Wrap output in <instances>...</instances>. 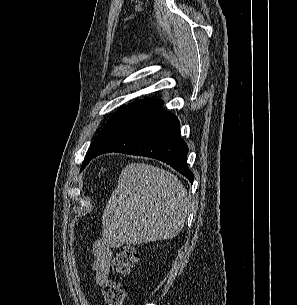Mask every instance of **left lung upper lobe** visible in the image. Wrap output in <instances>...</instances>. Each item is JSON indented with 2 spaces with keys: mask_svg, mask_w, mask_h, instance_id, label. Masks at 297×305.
I'll return each instance as SVG.
<instances>
[{
  "mask_svg": "<svg viewBox=\"0 0 297 305\" xmlns=\"http://www.w3.org/2000/svg\"><path fill=\"white\" fill-rule=\"evenodd\" d=\"M124 108H119L118 111L116 113H114L111 118L109 119V121L106 123V125L103 127L101 133L96 137V139L94 140V142L92 143L91 147L89 148L86 156H85V160L82 164L81 170H83L85 168V166L89 163V157L91 154H93L101 145L106 133L108 132L109 128L111 127L114 119L123 111Z\"/></svg>",
  "mask_w": 297,
  "mask_h": 305,
  "instance_id": "1",
  "label": "left lung upper lobe"
}]
</instances>
